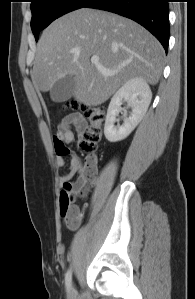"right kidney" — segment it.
<instances>
[{
    "instance_id": "1",
    "label": "right kidney",
    "mask_w": 195,
    "mask_h": 299,
    "mask_svg": "<svg viewBox=\"0 0 195 299\" xmlns=\"http://www.w3.org/2000/svg\"><path fill=\"white\" fill-rule=\"evenodd\" d=\"M152 99L148 83L140 77L128 80L111 98L104 126L108 141L118 142L125 139L144 117ZM127 102L132 111L129 117L124 116L123 124L115 126L117 116L123 110L121 105Z\"/></svg>"
}]
</instances>
